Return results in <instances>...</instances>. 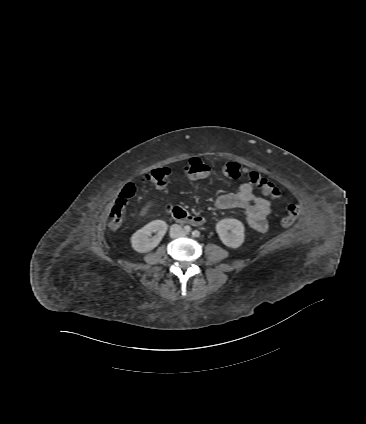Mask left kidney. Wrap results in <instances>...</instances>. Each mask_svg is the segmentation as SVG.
Segmentation results:
<instances>
[{
  "label": "left kidney",
  "mask_w": 366,
  "mask_h": 424,
  "mask_svg": "<svg viewBox=\"0 0 366 424\" xmlns=\"http://www.w3.org/2000/svg\"><path fill=\"white\" fill-rule=\"evenodd\" d=\"M244 231L243 223L237 219H222L216 224V232L220 240L230 248H238L243 244Z\"/></svg>",
  "instance_id": "5707ae66"
}]
</instances>
